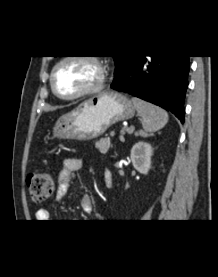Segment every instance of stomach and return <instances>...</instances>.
<instances>
[{"mask_svg": "<svg viewBox=\"0 0 218 277\" xmlns=\"http://www.w3.org/2000/svg\"><path fill=\"white\" fill-rule=\"evenodd\" d=\"M134 114L135 107L130 99L121 93L104 91L61 116L53 128V135L81 141L94 139L113 124L130 119Z\"/></svg>", "mask_w": 218, "mask_h": 277, "instance_id": "obj_1", "label": "stomach"}]
</instances>
